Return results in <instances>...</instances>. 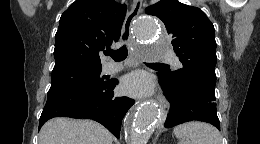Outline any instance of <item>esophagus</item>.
Returning <instances> with one entry per match:
<instances>
[{
	"instance_id": "1",
	"label": "esophagus",
	"mask_w": 260,
	"mask_h": 144,
	"mask_svg": "<svg viewBox=\"0 0 260 144\" xmlns=\"http://www.w3.org/2000/svg\"><path fill=\"white\" fill-rule=\"evenodd\" d=\"M143 0H134L132 8L124 21L123 30L121 33V40L126 41L127 38L131 37V26L133 21L138 17L142 10Z\"/></svg>"
}]
</instances>
